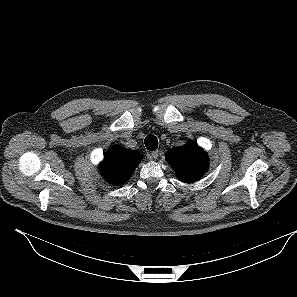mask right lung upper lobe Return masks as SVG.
I'll return each mask as SVG.
<instances>
[{
    "label": "right lung upper lobe",
    "mask_w": 297,
    "mask_h": 297,
    "mask_svg": "<svg viewBox=\"0 0 297 297\" xmlns=\"http://www.w3.org/2000/svg\"><path fill=\"white\" fill-rule=\"evenodd\" d=\"M141 159L142 156L137 151L116 147L107 153L99 168L108 182L121 185L131 177Z\"/></svg>",
    "instance_id": "obj_1"
}]
</instances>
